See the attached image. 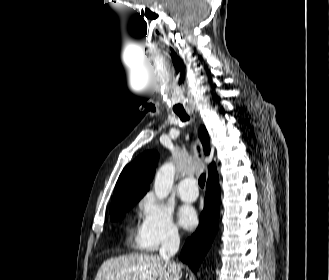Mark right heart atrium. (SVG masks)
<instances>
[{
  "label": "right heart atrium",
  "mask_w": 329,
  "mask_h": 280,
  "mask_svg": "<svg viewBox=\"0 0 329 280\" xmlns=\"http://www.w3.org/2000/svg\"><path fill=\"white\" fill-rule=\"evenodd\" d=\"M139 210L142 220L138 236L144 249L156 251L163 245L179 240V229L170 210L154 195L144 196L139 203Z\"/></svg>",
  "instance_id": "d8ad5b80"
}]
</instances>
